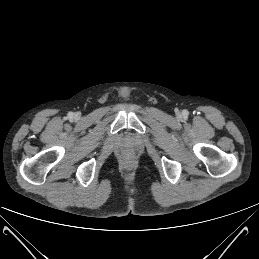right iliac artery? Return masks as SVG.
Masks as SVG:
<instances>
[{"instance_id":"obj_1","label":"right iliac artery","mask_w":259,"mask_h":259,"mask_svg":"<svg viewBox=\"0 0 259 259\" xmlns=\"http://www.w3.org/2000/svg\"><path fill=\"white\" fill-rule=\"evenodd\" d=\"M68 118H70V119L73 118V113L72 112L68 113Z\"/></svg>"}]
</instances>
